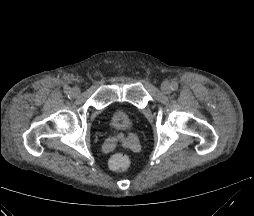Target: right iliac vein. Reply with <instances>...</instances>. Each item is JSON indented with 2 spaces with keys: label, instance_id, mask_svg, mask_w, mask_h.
Listing matches in <instances>:
<instances>
[{
  "label": "right iliac vein",
  "instance_id": "63e3f726",
  "mask_svg": "<svg viewBox=\"0 0 254 216\" xmlns=\"http://www.w3.org/2000/svg\"><path fill=\"white\" fill-rule=\"evenodd\" d=\"M80 94V89L78 87H74L71 89V95L73 97H77Z\"/></svg>",
  "mask_w": 254,
  "mask_h": 216
}]
</instances>
